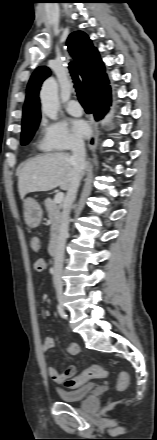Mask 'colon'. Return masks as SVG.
Segmentation results:
<instances>
[{
	"label": "colon",
	"mask_w": 157,
	"mask_h": 440,
	"mask_svg": "<svg viewBox=\"0 0 157 440\" xmlns=\"http://www.w3.org/2000/svg\"><path fill=\"white\" fill-rule=\"evenodd\" d=\"M30 247L34 252H39L41 250L40 239L36 236H33L30 239ZM34 268L36 270H44L46 268V262L42 258H39L35 261ZM106 375H107V370L103 366L93 365L90 368L84 370L78 376L69 377L68 379H66L64 381L63 385L67 389H76L91 379L102 378V377H105ZM128 384H129L128 374L125 372H121L118 375L116 389L118 391H123L127 388Z\"/></svg>",
	"instance_id": "5ec220e1"
}]
</instances>
